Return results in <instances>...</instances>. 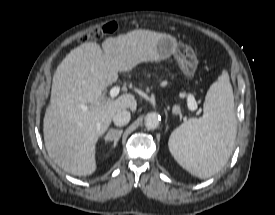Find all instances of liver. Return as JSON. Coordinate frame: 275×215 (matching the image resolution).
<instances>
[{
	"mask_svg": "<svg viewBox=\"0 0 275 215\" xmlns=\"http://www.w3.org/2000/svg\"><path fill=\"white\" fill-rule=\"evenodd\" d=\"M165 35L139 29L107 38L102 48L94 42L83 43L59 64L43 132L49 157L65 172L75 176L95 172L96 143L109 128L113 115L137 108L133 94L110 99L105 91L117 81L118 72L157 61L156 43Z\"/></svg>",
	"mask_w": 275,
	"mask_h": 215,
	"instance_id": "obj_1",
	"label": "liver"
}]
</instances>
